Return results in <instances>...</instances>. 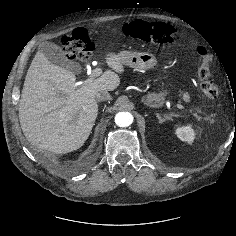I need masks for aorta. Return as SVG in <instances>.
Here are the masks:
<instances>
[{
  "instance_id": "obj_1",
  "label": "aorta",
  "mask_w": 236,
  "mask_h": 236,
  "mask_svg": "<svg viewBox=\"0 0 236 236\" xmlns=\"http://www.w3.org/2000/svg\"><path fill=\"white\" fill-rule=\"evenodd\" d=\"M115 123L119 127H128L133 123V115L129 112H119L115 115Z\"/></svg>"
}]
</instances>
